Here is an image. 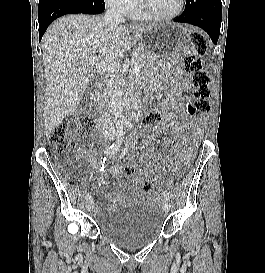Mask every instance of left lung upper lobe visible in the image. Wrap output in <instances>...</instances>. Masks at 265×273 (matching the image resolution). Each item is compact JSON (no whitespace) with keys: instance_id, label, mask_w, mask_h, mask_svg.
<instances>
[{"instance_id":"obj_1","label":"left lung upper lobe","mask_w":265,"mask_h":273,"mask_svg":"<svg viewBox=\"0 0 265 273\" xmlns=\"http://www.w3.org/2000/svg\"><path fill=\"white\" fill-rule=\"evenodd\" d=\"M189 1H191V0H186V2H189Z\"/></svg>"}]
</instances>
